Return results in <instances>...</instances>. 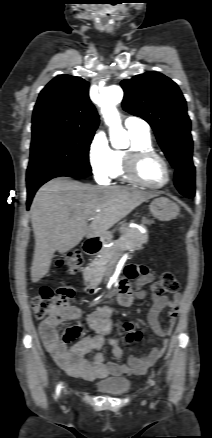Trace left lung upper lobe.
I'll return each instance as SVG.
<instances>
[{
  "instance_id": "obj_1",
  "label": "left lung upper lobe",
  "mask_w": 212,
  "mask_h": 438,
  "mask_svg": "<svg viewBox=\"0 0 212 438\" xmlns=\"http://www.w3.org/2000/svg\"><path fill=\"white\" fill-rule=\"evenodd\" d=\"M122 106L154 129L171 165L192 157L193 141L186 101L175 82L158 72H146L121 82Z\"/></svg>"
}]
</instances>
